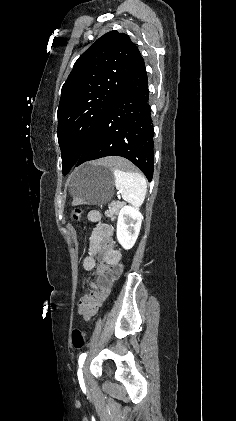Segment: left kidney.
<instances>
[{
  "instance_id": "5707ae66",
  "label": "left kidney",
  "mask_w": 236,
  "mask_h": 421,
  "mask_svg": "<svg viewBox=\"0 0 236 421\" xmlns=\"http://www.w3.org/2000/svg\"><path fill=\"white\" fill-rule=\"evenodd\" d=\"M142 215L134 206H123L117 221V239L123 249H132L140 233Z\"/></svg>"
}]
</instances>
